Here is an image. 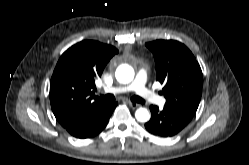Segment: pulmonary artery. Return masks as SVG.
<instances>
[{
    "label": "pulmonary artery",
    "mask_w": 249,
    "mask_h": 165,
    "mask_svg": "<svg viewBox=\"0 0 249 165\" xmlns=\"http://www.w3.org/2000/svg\"><path fill=\"white\" fill-rule=\"evenodd\" d=\"M147 83V74L145 70H140L134 81L130 84L122 85L114 87L110 90L117 93H128V92H136L140 97L150 103L162 105L164 104V98L157 95L153 90L149 89L146 86Z\"/></svg>",
    "instance_id": "e3ab8cb5"
}]
</instances>
